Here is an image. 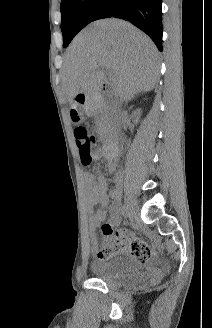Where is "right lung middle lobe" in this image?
I'll return each instance as SVG.
<instances>
[{
    "mask_svg": "<svg viewBox=\"0 0 212 328\" xmlns=\"http://www.w3.org/2000/svg\"><path fill=\"white\" fill-rule=\"evenodd\" d=\"M103 0H62L61 30L63 47H67L75 35L93 21V16Z\"/></svg>",
    "mask_w": 212,
    "mask_h": 328,
    "instance_id": "obj_1",
    "label": "right lung middle lobe"
}]
</instances>
